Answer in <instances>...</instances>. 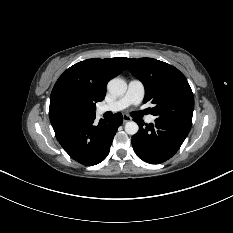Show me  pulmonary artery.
<instances>
[{
	"instance_id": "1",
	"label": "pulmonary artery",
	"mask_w": 233,
	"mask_h": 233,
	"mask_svg": "<svg viewBox=\"0 0 233 233\" xmlns=\"http://www.w3.org/2000/svg\"><path fill=\"white\" fill-rule=\"evenodd\" d=\"M144 95L145 88L143 83L137 79H132L129 81L127 91L123 96L111 103L99 106L98 112L103 114L105 112H118L124 110L130 105L139 104L143 100ZM146 121L148 123H153L155 117L153 115H148Z\"/></svg>"
}]
</instances>
